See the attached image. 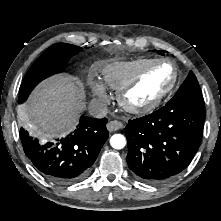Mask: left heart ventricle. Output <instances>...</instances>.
<instances>
[{
	"instance_id": "left-heart-ventricle-1",
	"label": "left heart ventricle",
	"mask_w": 221,
	"mask_h": 221,
	"mask_svg": "<svg viewBox=\"0 0 221 221\" xmlns=\"http://www.w3.org/2000/svg\"><path fill=\"white\" fill-rule=\"evenodd\" d=\"M172 70L167 65L153 67L130 92L132 102L142 104L157 96L169 83Z\"/></svg>"
}]
</instances>
